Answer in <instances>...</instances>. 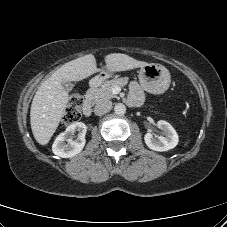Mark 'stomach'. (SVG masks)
I'll list each match as a JSON object with an SVG mask.
<instances>
[{"label": "stomach", "instance_id": "0dacf381", "mask_svg": "<svg viewBox=\"0 0 227 227\" xmlns=\"http://www.w3.org/2000/svg\"><path fill=\"white\" fill-rule=\"evenodd\" d=\"M109 75L108 71H101L94 80L102 81ZM139 82L145 91L152 94H162L169 88L170 73L160 64H147L139 70Z\"/></svg>", "mask_w": 227, "mask_h": 227}]
</instances>
